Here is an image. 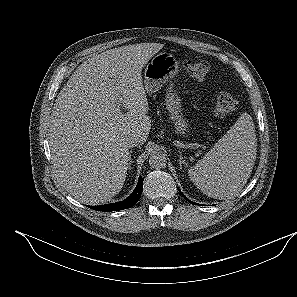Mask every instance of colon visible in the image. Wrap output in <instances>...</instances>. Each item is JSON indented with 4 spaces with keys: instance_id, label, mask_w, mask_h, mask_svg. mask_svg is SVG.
Listing matches in <instances>:
<instances>
[{
    "instance_id": "colon-1",
    "label": "colon",
    "mask_w": 297,
    "mask_h": 297,
    "mask_svg": "<svg viewBox=\"0 0 297 297\" xmlns=\"http://www.w3.org/2000/svg\"><path fill=\"white\" fill-rule=\"evenodd\" d=\"M187 73L198 82L204 81L209 73V63L203 60H190L184 65ZM237 109V102L228 93H221L217 96L214 112L218 117H223L233 113Z\"/></svg>"
}]
</instances>
